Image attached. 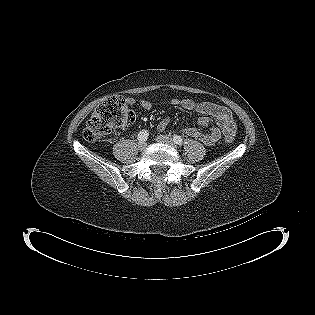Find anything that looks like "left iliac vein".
<instances>
[{"label": "left iliac vein", "instance_id": "left-iliac-vein-1", "mask_svg": "<svg viewBox=\"0 0 315 315\" xmlns=\"http://www.w3.org/2000/svg\"><path fill=\"white\" fill-rule=\"evenodd\" d=\"M156 141L158 142H161V143H165V144H168L174 148H176V144L175 142L173 141V139L167 135H159L156 137Z\"/></svg>", "mask_w": 315, "mask_h": 315}]
</instances>
